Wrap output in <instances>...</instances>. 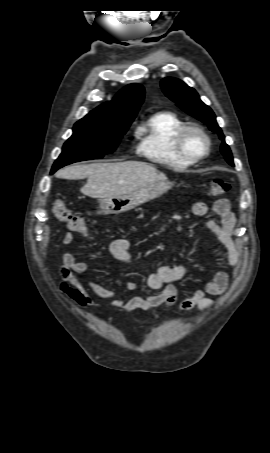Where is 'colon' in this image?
Returning a JSON list of instances; mask_svg holds the SVG:
<instances>
[{"mask_svg":"<svg viewBox=\"0 0 270 453\" xmlns=\"http://www.w3.org/2000/svg\"><path fill=\"white\" fill-rule=\"evenodd\" d=\"M229 189V183L222 180H215L210 183L208 193L209 195L216 197L226 194ZM53 213L56 218L65 223L71 231L82 235H87L89 233V228L85 219L82 216L73 213L63 200L57 199L54 201Z\"/></svg>","mask_w":270,"mask_h":453,"instance_id":"obj_1","label":"colon"}]
</instances>
